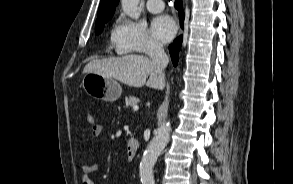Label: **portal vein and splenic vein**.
Listing matches in <instances>:
<instances>
[{
	"label": "portal vein and splenic vein",
	"mask_w": 293,
	"mask_h": 184,
	"mask_svg": "<svg viewBox=\"0 0 293 184\" xmlns=\"http://www.w3.org/2000/svg\"><path fill=\"white\" fill-rule=\"evenodd\" d=\"M139 107L137 105L133 106L134 111H138Z\"/></svg>",
	"instance_id": "18ae733b"
}]
</instances>
